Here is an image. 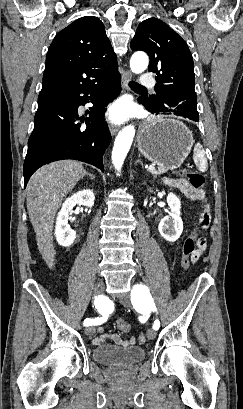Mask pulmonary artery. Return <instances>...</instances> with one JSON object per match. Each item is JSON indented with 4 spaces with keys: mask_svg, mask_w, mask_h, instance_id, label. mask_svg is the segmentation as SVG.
I'll list each match as a JSON object with an SVG mask.
<instances>
[{
    "mask_svg": "<svg viewBox=\"0 0 243 409\" xmlns=\"http://www.w3.org/2000/svg\"><path fill=\"white\" fill-rule=\"evenodd\" d=\"M140 85L143 87H153L155 85V80L150 74L145 73L140 78Z\"/></svg>",
    "mask_w": 243,
    "mask_h": 409,
    "instance_id": "obj_1",
    "label": "pulmonary artery"
}]
</instances>
